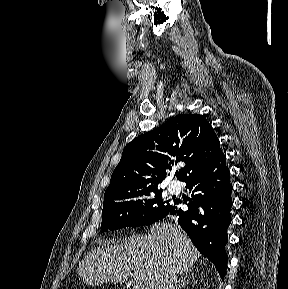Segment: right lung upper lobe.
Instances as JSON below:
<instances>
[{
    "mask_svg": "<svg viewBox=\"0 0 288 289\" xmlns=\"http://www.w3.org/2000/svg\"><path fill=\"white\" fill-rule=\"evenodd\" d=\"M221 152L209 122L198 114L170 118L161 127L134 138L123 150L104 197L158 187L179 161L185 166L175 175L184 181Z\"/></svg>",
    "mask_w": 288,
    "mask_h": 289,
    "instance_id": "1",
    "label": "right lung upper lobe"
}]
</instances>
